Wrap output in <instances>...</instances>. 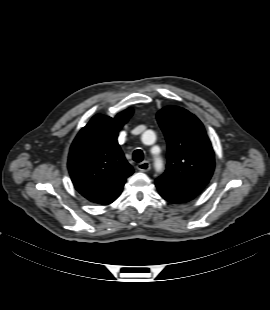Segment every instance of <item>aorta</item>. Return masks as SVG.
<instances>
[{"instance_id": "aorta-1", "label": "aorta", "mask_w": 270, "mask_h": 310, "mask_svg": "<svg viewBox=\"0 0 270 310\" xmlns=\"http://www.w3.org/2000/svg\"><path fill=\"white\" fill-rule=\"evenodd\" d=\"M149 136H154V133H153V131H151V130H148V131H146L144 134H143V140H145L147 137H149ZM162 168H163V162H162V159L161 158H159V157H157L156 159H155V169L158 171V172H160L161 170H162Z\"/></svg>"}]
</instances>
